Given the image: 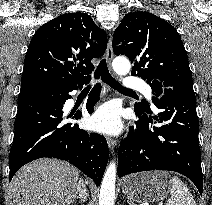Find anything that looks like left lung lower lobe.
Here are the masks:
<instances>
[{
    "instance_id": "0a47b994",
    "label": "left lung lower lobe",
    "mask_w": 212,
    "mask_h": 205,
    "mask_svg": "<svg viewBox=\"0 0 212 205\" xmlns=\"http://www.w3.org/2000/svg\"><path fill=\"white\" fill-rule=\"evenodd\" d=\"M159 97L158 111L134 106L139 120L120 144L118 176L148 170H169L188 177L203 190L198 117L193 88L149 83ZM157 124V126H152Z\"/></svg>"
}]
</instances>
